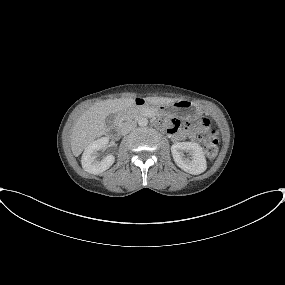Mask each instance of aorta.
Listing matches in <instances>:
<instances>
[{
  "instance_id": "obj_1",
  "label": "aorta",
  "mask_w": 285,
  "mask_h": 285,
  "mask_svg": "<svg viewBox=\"0 0 285 285\" xmlns=\"http://www.w3.org/2000/svg\"><path fill=\"white\" fill-rule=\"evenodd\" d=\"M138 125L141 127H145L148 125V119L145 117H141L138 119Z\"/></svg>"
}]
</instances>
